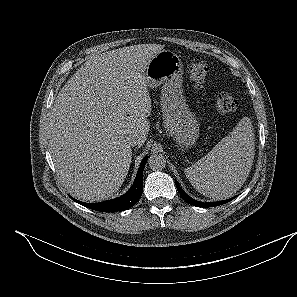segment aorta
<instances>
[{
  "label": "aorta",
  "instance_id": "aorta-1",
  "mask_svg": "<svg viewBox=\"0 0 297 297\" xmlns=\"http://www.w3.org/2000/svg\"><path fill=\"white\" fill-rule=\"evenodd\" d=\"M148 164L154 171L162 170L166 166V158L160 153H154L149 157Z\"/></svg>",
  "mask_w": 297,
  "mask_h": 297
}]
</instances>
